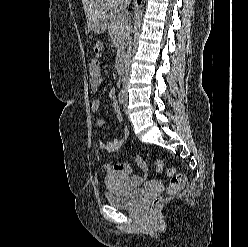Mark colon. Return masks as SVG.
Returning <instances> with one entry per match:
<instances>
[{"label":"colon","instance_id":"obj_1","mask_svg":"<svg viewBox=\"0 0 248 247\" xmlns=\"http://www.w3.org/2000/svg\"><path fill=\"white\" fill-rule=\"evenodd\" d=\"M102 47L103 46L101 42H96L94 44V51H100L102 50ZM136 163L142 171L147 172V164L141 157H136ZM155 170L157 173H165L170 177V183L166 192L168 197L177 194L186 184L185 175L178 173L174 168L166 167L163 160L159 159L155 161ZM164 199V197L156 198L153 201V205H160Z\"/></svg>","mask_w":248,"mask_h":247}]
</instances>
